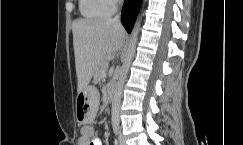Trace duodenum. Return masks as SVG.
Listing matches in <instances>:
<instances>
[{"label": "duodenum", "instance_id": "obj_1", "mask_svg": "<svg viewBox=\"0 0 243 145\" xmlns=\"http://www.w3.org/2000/svg\"><path fill=\"white\" fill-rule=\"evenodd\" d=\"M107 98L109 101H113L114 99V86L110 85L107 90Z\"/></svg>", "mask_w": 243, "mask_h": 145}]
</instances>
